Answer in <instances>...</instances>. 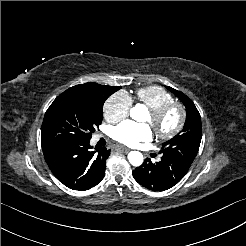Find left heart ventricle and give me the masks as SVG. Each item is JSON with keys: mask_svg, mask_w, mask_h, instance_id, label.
<instances>
[{"mask_svg": "<svg viewBox=\"0 0 246 246\" xmlns=\"http://www.w3.org/2000/svg\"><path fill=\"white\" fill-rule=\"evenodd\" d=\"M178 120V111L170 112L164 119H162L157 127L163 130L172 128ZM147 122L150 123V115L147 117Z\"/></svg>", "mask_w": 246, "mask_h": 246, "instance_id": "obj_1", "label": "left heart ventricle"}]
</instances>
